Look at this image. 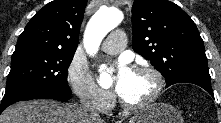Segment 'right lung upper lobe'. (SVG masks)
<instances>
[{"instance_id":"1","label":"right lung upper lobe","mask_w":221,"mask_h":123,"mask_svg":"<svg viewBox=\"0 0 221 123\" xmlns=\"http://www.w3.org/2000/svg\"><path fill=\"white\" fill-rule=\"evenodd\" d=\"M87 0H54L37 12L19 36L16 49L75 53Z\"/></svg>"}]
</instances>
